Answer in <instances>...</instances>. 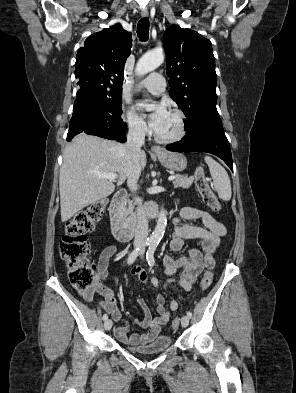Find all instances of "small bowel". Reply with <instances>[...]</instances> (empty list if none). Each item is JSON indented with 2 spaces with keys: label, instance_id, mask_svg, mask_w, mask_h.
Here are the masks:
<instances>
[{
  "label": "small bowel",
  "instance_id": "obj_1",
  "mask_svg": "<svg viewBox=\"0 0 296 393\" xmlns=\"http://www.w3.org/2000/svg\"><path fill=\"white\" fill-rule=\"evenodd\" d=\"M179 217L185 220H201L203 226L193 225H178L179 218H175V230L170 241L169 248L173 252L182 251L185 242L188 240H197L200 242V249H190L186 255L174 258L170 255H165L163 258V269L165 274L169 276L178 275V277L169 278L164 284L163 288L166 290L168 285L175 283L180 288L189 291L194 282L203 271L204 268L212 269L215 267L216 261L214 254L220 245L221 237L225 236L227 229L221 222L217 221L210 213L191 207L182 208L179 212ZM116 245H109L104 248L98 260V273L102 280H113L115 277L109 276L108 266L110 259L117 253ZM132 273L137 276L141 282L148 281L154 288L160 286V281L155 276L148 275L147 271L134 267ZM97 292L103 296V300L99 302L102 310L109 313L115 322H122L120 326L114 328L116 338L125 345H146L149 344L167 325L171 319L170 311L178 309V303L171 300L169 308L165 306V299L162 295H157L155 298L157 317H153L150 308L144 299H138L137 303L143 311V318L135 319V323L147 329L145 333L128 334V324L123 321L120 310L117 305L116 297L113 291L98 282L88 295H83L85 301H91L93 294Z\"/></svg>",
  "mask_w": 296,
  "mask_h": 393
}]
</instances>
